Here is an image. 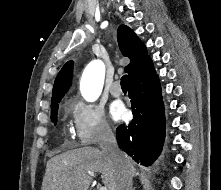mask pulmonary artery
<instances>
[{"instance_id":"obj_1","label":"pulmonary artery","mask_w":221,"mask_h":190,"mask_svg":"<svg viewBox=\"0 0 221 190\" xmlns=\"http://www.w3.org/2000/svg\"><path fill=\"white\" fill-rule=\"evenodd\" d=\"M109 90H110V93L115 97H119L122 94V89H121L119 82L112 83L110 85Z\"/></svg>"}]
</instances>
